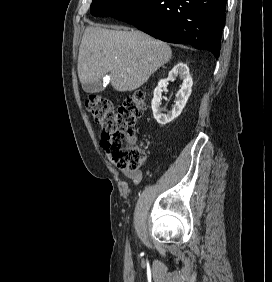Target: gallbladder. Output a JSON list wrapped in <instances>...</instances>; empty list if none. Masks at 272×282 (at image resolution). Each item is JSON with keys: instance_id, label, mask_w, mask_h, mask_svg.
Here are the masks:
<instances>
[{"instance_id": "bac80fb5", "label": "gallbladder", "mask_w": 272, "mask_h": 282, "mask_svg": "<svg viewBox=\"0 0 272 282\" xmlns=\"http://www.w3.org/2000/svg\"><path fill=\"white\" fill-rule=\"evenodd\" d=\"M104 86L102 79L94 83H86L82 85L83 90L87 93H99L104 90Z\"/></svg>"}]
</instances>
